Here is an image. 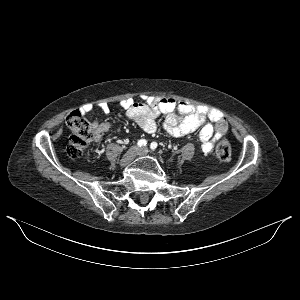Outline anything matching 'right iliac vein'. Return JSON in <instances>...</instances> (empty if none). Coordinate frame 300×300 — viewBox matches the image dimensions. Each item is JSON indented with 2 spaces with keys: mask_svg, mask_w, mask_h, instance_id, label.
<instances>
[{
  "mask_svg": "<svg viewBox=\"0 0 300 300\" xmlns=\"http://www.w3.org/2000/svg\"><path fill=\"white\" fill-rule=\"evenodd\" d=\"M138 151L139 150L136 146H132L122 157L120 162L121 166H126L129 163H131L135 159L136 155L138 154Z\"/></svg>",
  "mask_w": 300,
  "mask_h": 300,
  "instance_id": "63e3f726",
  "label": "right iliac vein"
}]
</instances>
